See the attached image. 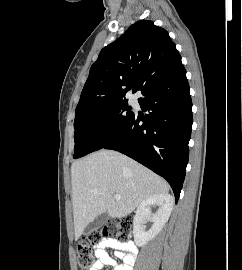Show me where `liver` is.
I'll list each match as a JSON object with an SVG mask.
<instances>
[{"mask_svg": "<svg viewBox=\"0 0 242 270\" xmlns=\"http://www.w3.org/2000/svg\"><path fill=\"white\" fill-rule=\"evenodd\" d=\"M75 240L98 215L122 218L153 194L168 193L167 182L113 150H100L71 166ZM121 196L120 200L114 198Z\"/></svg>", "mask_w": 242, "mask_h": 270, "instance_id": "obj_1", "label": "liver"}]
</instances>
